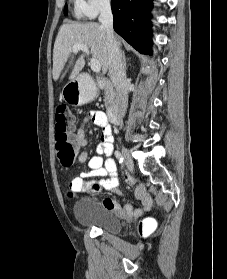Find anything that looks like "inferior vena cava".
I'll use <instances>...</instances> for the list:
<instances>
[{"instance_id": "1", "label": "inferior vena cava", "mask_w": 227, "mask_h": 279, "mask_svg": "<svg viewBox=\"0 0 227 279\" xmlns=\"http://www.w3.org/2000/svg\"><path fill=\"white\" fill-rule=\"evenodd\" d=\"M99 21L106 31L109 76L116 90L118 113L121 115L127 108L129 82L126 78L122 54L114 35L113 15L109 0H104L101 4Z\"/></svg>"}]
</instances>
